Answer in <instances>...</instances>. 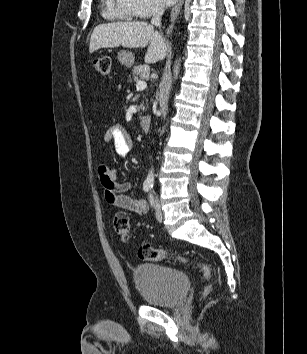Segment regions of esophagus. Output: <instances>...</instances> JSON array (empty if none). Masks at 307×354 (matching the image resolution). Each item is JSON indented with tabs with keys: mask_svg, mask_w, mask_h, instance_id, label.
I'll list each match as a JSON object with an SVG mask.
<instances>
[{
	"mask_svg": "<svg viewBox=\"0 0 307 354\" xmlns=\"http://www.w3.org/2000/svg\"><path fill=\"white\" fill-rule=\"evenodd\" d=\"M184 0H178V3L176 4V6L172 9L171 14H170V24L167 28V34H170L172 32L173 29V23L175 22V20L177 19L180 10L183 6Z\"/></svg>",
	"mask_w": 307,
	"mask_h": 354,
	"instance_id": "obj_1",
	"label": "esophagus"
}]
</instances>
